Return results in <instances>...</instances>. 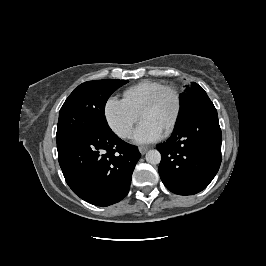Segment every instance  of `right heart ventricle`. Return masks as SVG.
<instances>
[{
	"instance_id": "e07e8e85",
	"label": "right heart ventricle",
	"mask_w": 266,
	"mask_h": 266,
	"mask_svg": "<svg viewBox=\"0 0 266 266\" xmlns=\"http://www.w3.org/2000/svg\"><path fill=\"white\" fill-rule=\"evenodd\" d=\"M162 86H164V84L157 81H141L124 91V100L132 109L140 113L148 98Z\"/></svg>"
}]
</instances>
